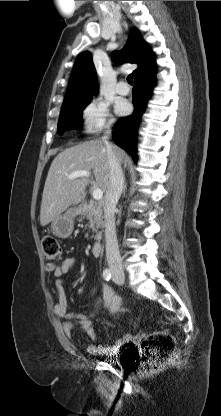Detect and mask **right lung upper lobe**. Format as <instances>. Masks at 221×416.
<instances>
[{
	"mask_svg": "<svg viewBox=\"0 0 221 416\" xmlns=\"http://www.w3.org/2000/svg\"><path fill=\"white\" fill-rule=\"evenodd\" d=\"M112 58L116 63L138 64V68L134 70V78L156 69L154 53L135 27L131 30L125 49L114 51ZM97 91L98 84L92 55L89 51L82 52L75 61L64 102L92 97Z\"/></svg>",
	"mask_w": 221,
	"mask_h": 416,
	"instance_id": "cb5924a9",
	"label": "right lung upper lobe"
}]
</instances>
